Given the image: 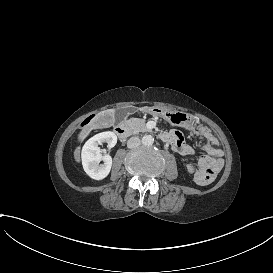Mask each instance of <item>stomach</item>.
Wrapping results in <instances>:
<instances>
[{
	"label": "stomach",
	"mask_w": 273,
	"mask_h": 273,
	"mask_svg": "<svg viewBox=\"0 0 273 273\" xmlns=\"http://www.w3.org/2000/svg\"><path fill=\"white\" fill-rule=\"evenodd\" d=\"M143 111L153 116L163 118L171 126H178L186 129H190L193 126V116L186 112L168 110L159 106L144 107Z\"/></svg>",
	"instance_id": "obj_1"
}]
</instances>
